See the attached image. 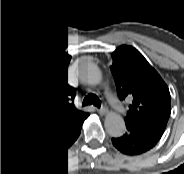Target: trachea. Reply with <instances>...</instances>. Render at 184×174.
<instances>
[{"instance_id":"1","label":"trachea","mask_w":184,"mask_h":174,"mask_svg":"<svg viewBox=\"0 0 184 174\" xmlns=\"http://www.w3.org/2000/svg\"><path fill=\"white\" fill-rule=\"evenodd\" d=\"M86 103H91V104H94L96 106L100 105L99 99L95 95H93V94H90L87 97Z\"/></svg>"}]
</instances>
